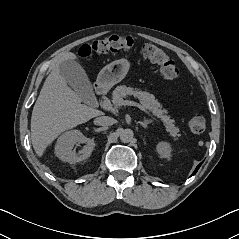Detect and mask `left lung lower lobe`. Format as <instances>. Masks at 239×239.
Masks as SVG:
<instances>
[{
  "mask_svg": "<svg viewBox=\"0 0 239 239\" xmlns=\"http://www.w3.org/2000/svg\"><path fill=\"white\" fill-rule=\"evenodd\" d=\"M201 164H202V163H201ZM201 164H199V165L196 167V169H195V171L193 172L192 175H195V173H196V172L198 171V169L200 168Z\"/></svg>",
  "mask_w": 239,
  "mask_h": 239,
  "instance_id": "obj_1",
  "label": "left lung lower lobe"
}]
</instances>
